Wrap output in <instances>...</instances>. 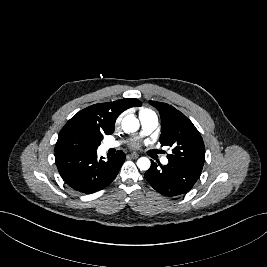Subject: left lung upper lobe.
<instances>
[{
	"label": "left lung upper lobe",
	"mask_w": 267,
	"mask_h": 267,
	"mask_svg": "<svg viewBox=\"0 0 267 267\" xmlns=\"http://www.w3.org/2000/svg\"><path fill=\"white\" fill-rule=\"evenodd\" d=\"M161 116V146L172 147L169 162L186 165L202 171L205 161L203 139L193 123L173 106L150 101Z\"/></svg>",
	"instance_id": "1"
}]
</instances>
